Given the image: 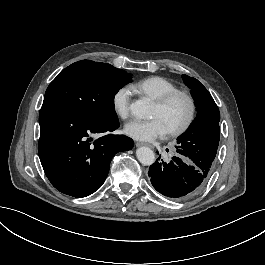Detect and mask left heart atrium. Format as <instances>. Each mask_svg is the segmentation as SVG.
Listing matches in <instances>:
<instances>
[{"label":"left heart atrium","mask_w":265,"mask_h":265,"mask_svg":"<svg viewBox=\"0 0 265 265\" xmlns=\"http://www.w3.org/2000/svg\"><path fill=\"white\" fill-rule=\"evenodd\" d=\"M124 132L134 140L152 141L167 133L162 122L153 118L148 121L132 120L124 128Z\"/></svg>","instance_id":"39dd6f15"}]
</instances>
